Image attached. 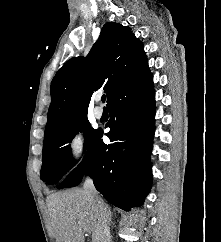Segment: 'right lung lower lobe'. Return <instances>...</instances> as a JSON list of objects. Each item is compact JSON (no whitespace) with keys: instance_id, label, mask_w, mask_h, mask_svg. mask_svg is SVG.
<instances>
[{"instance_id":"1","label":"right lung lower lobe","mask_w":221,"mask_h":242,"mask_svg":"<svg viewBox=\"0 0 221 242\" xmlns=\"http://www.w3.org/2000/svg\"><path fill=\"white\" fill-rule=\"evenodd\" d=\"M110 121L102 141L97 130L83 161L58 186H77L85 174L114 206L125 211L142 205L152 184L150 154L154 136L155 94L150 70L122 86L108 103Z\"/></svg>"}]
</instances>
